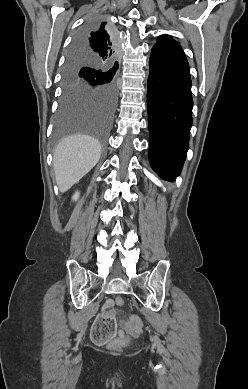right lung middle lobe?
<instances>
[{"label": "right lung middle lobe", "mask_w": 248, "mask_h": 389, "mask_svg": "<svg viewBox=\"0 0 248 389\" xmlns=\"http://www.w3.org/2000/svg\"><path fill=\"white\" fill-rule=\"evenodd\" d=\"M101 17H93L76 35L73 43L98 29ZM115 69L79 49L71 47L63 71V96L57 115L55 142L73 133L95 135L102 146L117 102Z\"/></svg>", "instance_id": "1"}]
</instances>
